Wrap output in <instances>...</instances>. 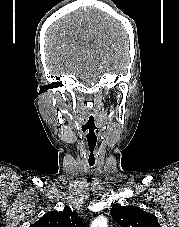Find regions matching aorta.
<instances>
[{
	"instance_id": "obj_1",
	"label": "aorta",
	"mask_w": 179,
	"mask_h": 227,
	"mask_svg": "<svg viewBox=\"0 0 179 227\" xmlns=\"http://www.w3.org/2000/svg\"><path fill=\"white\" fill-rule=\"evenodd\" d=\"M90 227H108L107 219L103 216H99L92 222Z\"/></svg>"
}]
</instances>
